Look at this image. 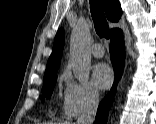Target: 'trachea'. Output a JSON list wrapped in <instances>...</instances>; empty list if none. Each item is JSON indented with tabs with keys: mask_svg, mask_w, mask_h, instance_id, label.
<instances>
[{
	"mask_svg": "<svg viewBox=\"0 0 156 124\" xmlns=\"http://www.w3.org/2000/svg\"><path fill=\"white\" fill-rule=\"evenodd\" d=\"M90 10L96 33L100 37L109 38V26L105 18L103 9L98 0H90Z\"/></svg>",
	"mask_w": 156,
	"mask_h": 124,
	"instance_id": "1",
	"label": "trachea"
}]
</instances>
